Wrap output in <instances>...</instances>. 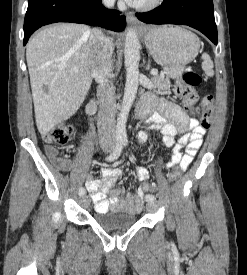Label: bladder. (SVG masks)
<instances>
[{
    "label": "bladder",
    "mask_w": 247,
    "mask_h": 275,
    "mask_svg": "<svg viewBox=\"0 0 247 275\" xmlns=\"http://www.w3.org/2000/svg\"><path fill=\"white\" fill-rule=\"evenodd\" d=\"M95 222L108 231H125L138 222L135 215L113 211L97 212Z\"/></svg>",
    "instance_id": "31cf9c89"
}]
</instances>
